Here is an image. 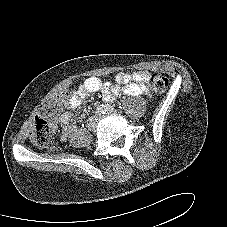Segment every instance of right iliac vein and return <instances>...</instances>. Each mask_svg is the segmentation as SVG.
<instances>
[{
    "label": "right iliac vein",
    "mask_w": 227,
    "mask_h": 227,
    "mask_svg": "<svg viewBox=\"0 0 227 227\" xmlns=\"http://www.w3.org/2000/svg\"><path fill=\"white\" fill-rule=\"evenodd\" d=\"M97 125V119L95 117H92L89 119L87 127L89 130H95Z\"/></svg>",
    "instance_id": "63e3f726"
}]
</instances>
